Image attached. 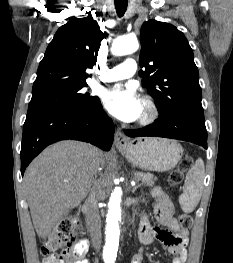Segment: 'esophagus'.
Masks as SVG:
<instances>
[{"mask_svg":"<svg viewBox=\"0 0 233 263\" xmlns=\"http://www.w3.org/2000/svg\"><path fill=\"white\" fill-rule=\"evenodd\" d=\"M114 144L117 148H125L129 144V139L120 128H117L114 136Z\"/></svg>","mask_w":233,"mask_h":263,"instance_id":"1","label":"esophagus"}]
</instances>
